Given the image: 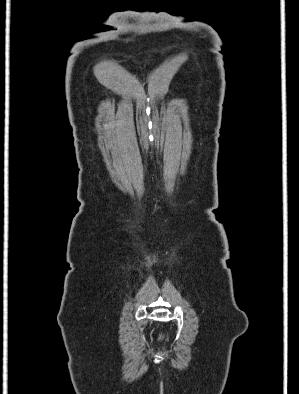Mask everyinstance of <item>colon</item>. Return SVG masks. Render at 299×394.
Listing matches in <instances>:
<instances>
[{
  "label": "colon",
  "mask_w": 299,
  "mask_h": 394,
  "mask_svg": "<svg viewBox=\"0 0 299 394\" xmlns=\"http://www.w3.org/2000/svg\"><path fill=\"white\" fill-rule=\"evenodd\" d=\"M165 339H166V336H165L164 334H161L160 340H161V341H164Z\"/></svg>",
  "instance_id": "1"
}]
</instances>
